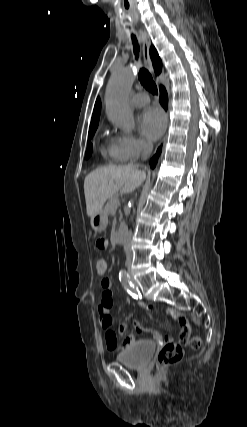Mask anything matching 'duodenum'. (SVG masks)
<instances>
[{
    "mask_svg": "<svg viewBox=\"0 0 247 427\" xmlns=\"http://www.w3.org/2000/svg\"><path fill=\"white\" fill-rule=\"evenodd\" d=\"M125 235H126V227L125 225H121L115 234V240L119 245L124 244Z\"/></svg>",
    "mask_w": 247,
    "mask_h": 427,
    "instance_id": "duodenum-1",
    "label": "duodenum"
}]
</instances>
